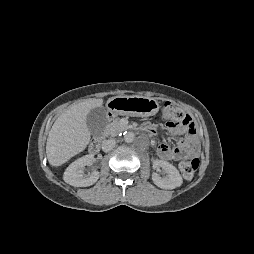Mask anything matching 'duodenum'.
<instances>
[{
    "label": "duodenum",
    "instance_id": "410a0bca",
    "mask_svg": "<svg viewBox=\"0 0 254 254\" xmlns=\"http://www.w3.org/2000/svg\"><path fill=\"white\" fill-rule=\"evenodd\" d=\"M142 130L149 132L146 128H142ZM100 147H101L100 140L95 138L89 145V152L94 155L98 154L100 152Z\"/></svg>",
    "mask_w": 254,
    "mask_h": 254
}]
</instances>
